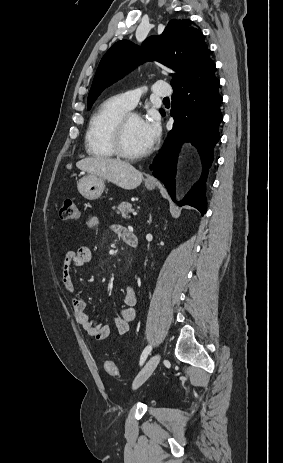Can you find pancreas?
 Here are the masks:
<instances>
[{
  "label": "pancreas",
  "instance_id": "cf45deb5",
  "mask_svg": "<svg viewBox=\"0 0 283 463\" xmlns=\"http://www.w3.org/2000/svg\"><path fill=\"white\" fill-rule=\"evenodd\" d=\"M113 209H116V213L123 218H130L128 214L134 211L129 202H121L117 207H113Z\"/></svg>",
  "mask_w": 283,
  "mask_h": 463
}]
</instances>
